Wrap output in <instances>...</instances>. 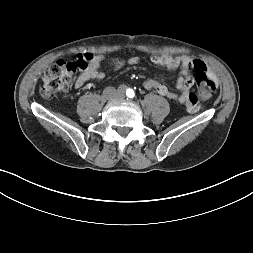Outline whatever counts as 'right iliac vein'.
Returning a JSON list of instances; mask_svg holds the SVG:
<instances>
[{"mask_svg":"<svg viewBox=\"0 0 253 253\" xmlns=\"http://www.w3.org/2000/svg\"><path fill=\"white\" fill-rule=\"evenodd\" d=\"M112 95H113V92H112V91H108V92H107V96H108V97H111Z\"/></svg>","mask_w":253,"mask_h":253,"instance_id":"obj_1","label":"right iliac vein"}]
</instances>
